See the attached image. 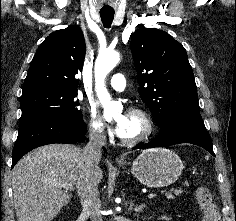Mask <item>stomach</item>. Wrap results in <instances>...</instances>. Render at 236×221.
I'll use <instances>...</instances> for the list:
<instances>
[{"label":"stomach","mask_w":236,"mask_h":221,"mask_svg":"<svg viewBox=\"0 0 236 221\" xmlns=\"http://www.w3.org/2000/svg\"><path fill=\"white\" fill-rule=\"evenodd\" d=\"M124 165V163H120ZM183 170L179 156L166 148L142 151L132 162V174L145 186L159 188L174 183Z\"/></svg>","instance_id":"obj_1"}]
</instances>
